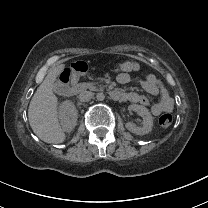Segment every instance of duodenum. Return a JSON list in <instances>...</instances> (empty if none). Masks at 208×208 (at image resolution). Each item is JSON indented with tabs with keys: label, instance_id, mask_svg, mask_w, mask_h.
<instances>
[{
	"label": "duodenum",
	"instance_id": "duodenum-1",
	"mask_svg": "<svg viewBox=\"0 0 208 208\" xmlns=\"http://www.w3.org/2000/svg\"><path fill=\"white\" fill-rule=\"evenodd\" d=\"M85 86L83 84H76L71 88V94L77 95L84 90ZM111 96L113 99L118 101H124L127 99V95L123 92L113 90L111 92Z\"/></svg>",
	"mask_w": 208,
	"mask_h": 208
}]
</instances>
